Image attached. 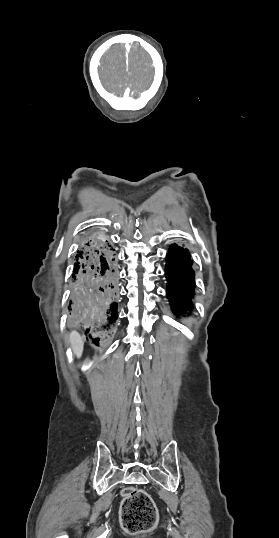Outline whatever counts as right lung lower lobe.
<instances>
[{"label": "right lung lower lobe", "instance_id": "98d812e1", "mask_svg": "<svg viewBox=\"0 0 279 538\" xmlns=\"http://www.w3.org/2000/svg\"><path fill=\"white\" fill-rule=\"evenodd\" d=\"M112 243L102 233L88 236L76 254L68 324L85 334H100L117 320L119 276Z\"/></svg>", "mask_w": 279, "mask_h": 538}]
</instances>
